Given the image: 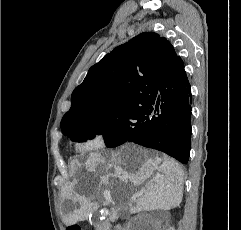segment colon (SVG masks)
Here are the masks:
<instances>
[{"label": "colon", "mask_w": 241, "mask_h": 230, "mask_svg": "<svg viewBox=\"0 0 241 230\" xmlns=\"http://www.w3.org/2000/svg\"><path fill=\"white\" fill-rule=\"evenodd\" d=\"M67 230H81L78 226H71Z\"/></svg>", "instance_id": "1"}]
</instances>
